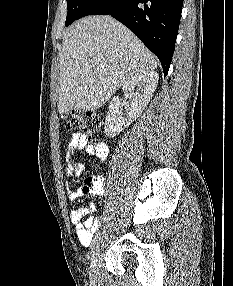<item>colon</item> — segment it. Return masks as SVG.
Segmentation results:
<instances>
[{"label":"colon","mask_w":233,"mask_h":286,"mask_svg":"<svg viewBox=\"0 0 233 286\" xmlns=\"http://www.w3.org/2000/svg\"><path fill=\"white\" fill-rule=\"evenodd\" d=\"M65 118L69 128H80L90 141L97 143L102 128V119L98 114L77 110ZM102 188H104L103 180L99 177H88L83 184V190L87 193H96Z\"/></svg>","instance_id":"1"}]
</instances>
